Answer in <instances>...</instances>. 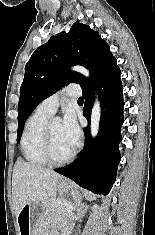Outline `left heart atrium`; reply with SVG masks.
<instances>
[{"label": "left heart atrium", "instance_id": "left-heart-atrium-1", "mask_svg": "<svg viewBox=\"0 0 155 235\" xmlns=\"http://www.w3.org/2000/svg\"><path fill=\"white\" fill-rule=\"evenodd\" d=\"M61 126L67 142L72 148H74L80 139V128L74 114L67 112L63 118Z\"/></svg>", "mask_w": 155, "mask_h": 235}]
</instances>
